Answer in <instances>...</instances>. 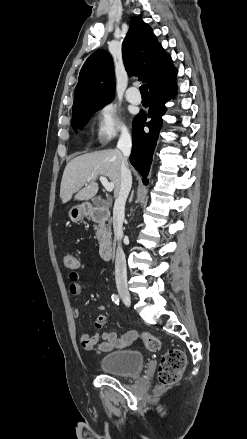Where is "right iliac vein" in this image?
Returning <instances> with one entry per match:
<instances>
[{
	"instance_id": "63e3f726",
	"label": "right iliac vein",
	"mask_w": 247,
	"mask_h": 439,
	"mask_svg": "<svg viewBox=\"0 0 247 439\" xmlns=\"http://www.w3.org/2000/svg\"><path fill=\"white\" fill-rule=\"evenodd\" d=\"M118 292H119V295H120L123 303L129 307L131 304V297H130V293H129L128 289L126 287H120L118 289Z\"/></svg>"
}]
</instances>
